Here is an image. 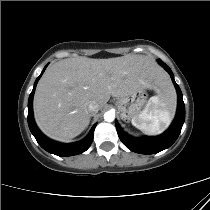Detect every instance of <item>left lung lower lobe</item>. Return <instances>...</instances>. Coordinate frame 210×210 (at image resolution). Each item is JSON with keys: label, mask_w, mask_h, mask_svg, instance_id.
<instances>
[{"label": "left lung lower lobe", "mask_w": 210, "mask_h": 210, "mask_svg": "<svg viewBox=\"0 0 210 210\" xmlns=\"http://www.w3.org/2000/svg\"><path fill=\"white\" fill-rule=\"evenodd\" d=\"M159 64H161L170 74L171 79L175 85L178 94V107L176 117L170 126V128L160 136L156 137H144V138H133L127 135L119 126L117 121L115 122L116 129L119 135V138L123 142V144L136 153L140 154H154L158 153L164 149L170 147L178 138L184 120H185V106L183 102L182 92L179 86L176 84L174 80V75L171 69L160 59H158Z\"/></svg>", "instance_id": "0a47b994"}]
</instances>
